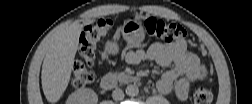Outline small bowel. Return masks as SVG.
Segmentation results:
<instances>
[{
  "label": "small bowel",
  "instance_id": "obj_1",
  "mask_svg": "<svg viewBox=\"0 0 252 104\" xmlns=\"http://www.w3.org/2000/svg\"><path fill=\"white\" fill-rule=\"evenodd\" d=\"M126 62L136 65L144 61H155L166 68L157 82V90L161 94L175 92L178 99L184 101L188 97L193 83L206 77V69L199 58L187 49L184 39L164 44L154 43L148 49H135L127 53Z\"/></svg>",
  "mask_w": 252,
  "mask_h": 104
}]
</instances>
